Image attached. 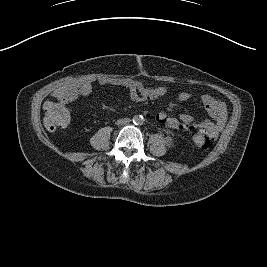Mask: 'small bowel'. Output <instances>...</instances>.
<instances>
[{"label": "small bowel", "mask_w": 267, "mask_h": 267, "mask_svg": "<svg viewBox=\"0 0 267 267\" xmlns=\"http://www.w3.org/2000/svg\"><path fill=\"white\" fill-rule=\"evenodd\" d=\"M129 89L130 97L134 102L143 101H153L160 97H163L167 90L163 86L157 87H147L141 83H132L127 86ZM92 91L91 83H81L74 86L66 93H61L58 95V99L65 105L68 103L87 97ZM193 98V94L187 91L180 92L176 99L179 102H186ZM200 103L206 110L210 119H205L200 122H196L194 117L187 113H182L178 118L168 116L164 112H159L156 114V120L164 124L168 128L172 129H197L199 132L208 133L216 139L220 131L224 126V122L227 115V110L225 104L210 95H202L199 98ZM150 117L149 113H146Z\"/></svg>", "instance_id": "obj_1"}]
</instances>
